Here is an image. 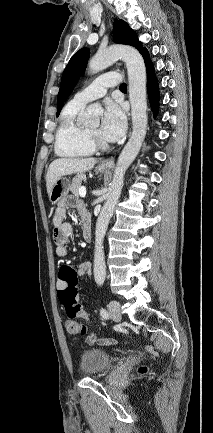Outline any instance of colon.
I'll list each match as a JSON object with an SVG mask.
<instances>
[{
    "instance_id": "obj_1",
    "label": "colon",
    "mask_w": 213,
    "mask_h": 433,
    "mask_svg": "<svg viewBox=\"0 0 213 433\" xmlns=\"http://www.w3.org/2000/svg\"><path fill=\"white\" fill-rule=\"evenodd\" d=\"M59 279L64 284V287L58 291V297L66 311L65 330L71 337L82 336L86 333V327L79 319H86L90 315L78 301V273L73 266H63L59 271ZM140 370L146 372L147 368L142 367Z\"/></svg>"
}]
</instances>
